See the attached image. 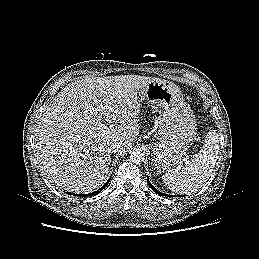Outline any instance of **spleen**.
<instances>
[{"instance_id":"obj_1","label":"spleen","mask_w":259,"mask_h":259,"mask_svg":"<svg viewBox=\"0 0 259 259\" xmlns=\"http://www.w3.org/2000/svg\"><path fill=\"white\" fill-rule=\"evenodd\" d=\"M219 134L211 130L205 137L203 148L191 160H187L181 171L169 170L162 180L167 187L178 194L198 191L210 178L219 151Z\"/></svg>"}]
</instances>
